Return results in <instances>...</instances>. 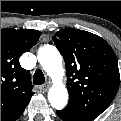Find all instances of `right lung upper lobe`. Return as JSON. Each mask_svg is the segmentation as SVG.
Segmentation results:
<instances>
[{"label":"right lung upper lobe","mask_w":121,"mask_h":121,"mask_svg":"<svg viewBox=\"0 0 121 121\" xmlns=\"http://www.w3.org/2000/svg\"><path fill=\"white\" fill-rule=\"evenodd\" d=\"M40 35L31 29H1V121H15L34 94L30 72L21 67L19 58Z\"/></svg>","instance_id":"cb5924a9"}]
</instances>
